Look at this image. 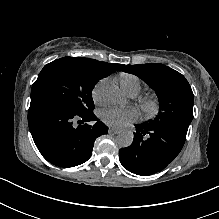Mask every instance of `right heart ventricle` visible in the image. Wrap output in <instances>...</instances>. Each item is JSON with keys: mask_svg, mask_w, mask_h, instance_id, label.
<instances>
[{"mask_svg": "<svg viewBox=\"0 0 219 219\" xmlns=\"http://www.w3.org/2000/svg\"><path fill=\"white\" fill-rule=\"evenodd\" d=\"M118 78L122 90L130 96L137 95L143 87L142 80L137 75L121 73Z\"/></svg>", "mask_w": 219, "mask_h": 219, "instance_id": "1", "label": "right heart ventricle"}]
</instances>
